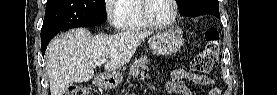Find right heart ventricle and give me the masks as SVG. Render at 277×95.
<instances>
[{
  "label": "right heart ventricle",
  "instance_id": "right-heart-ventricle-1",
  "mask_svg": "<svg viewBox=\"0 0 277 95\" xmlns=\"http://www.w3.org/2000/svg\"><path fill=\"white\" fill-rule=\"evenodd\" d=\"M143 0H118V23L120 30H141L149 28L142 16L141 7Z\"/></svg>",
  "mask_w": 277,
  "mask_h": 95
}]
</instances>
